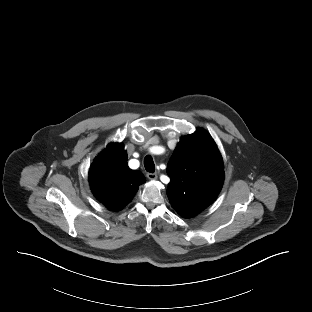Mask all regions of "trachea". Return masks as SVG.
I'll return each mask as SVG.
<instances>
[{"label":"trachea","mask_w":312,"mask_h":312,"mask_svg":"<svg viewBox=\"0 0 312 312\" xmlns=\"http://www.w3.org/2000/svg\"><path fill=\"white\" fill-rule=\"evenodd\" d=\"M144 166L146 171L153 173L155 171V165L153 162V158L150 155H147L144 159Z\"/></svg>","instance_id":"3493384b"}]
</instances>
